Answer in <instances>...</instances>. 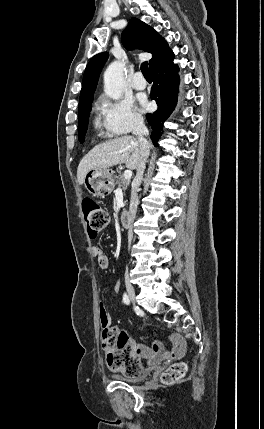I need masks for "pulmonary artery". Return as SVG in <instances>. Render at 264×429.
Returning a JSON list of instances; mask_svg holds the SVG:
<instances>
[{"mask_svg": "<svg viewBox=\"0 0 264 429\" xmlns=\"http://www.w3.org/2000/svg\"><path fill=\"white\" fill-rule=\"evenodd\" d=\"M132 85L136 90H144L146 88L147 84L141 72L135 73L133 77Z\"/></svg>", "mask_w": 264, "mask_h": 429, "instance_id": "obj_1", "label": "pulmonary artery"}]
</instances>
